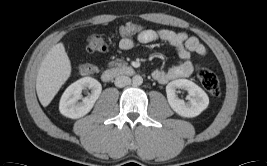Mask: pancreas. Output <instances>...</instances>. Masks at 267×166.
Returning <instances> with one entry per match:
<instances>
[{"instance_id":"1","label":"pancreas","mask_w":267,"mask_h":166,"mask_svg":"<svg viewBox=\"0 0 267 166\" xmlns=\"http://www.w3.org/2000/svg\"><path fill=\"white\" fill-rule=\"evenodd\" d=\"M122 64H123L122 60H115V61L109 62V66H120Z\"/></svg>"}]
</instances>
